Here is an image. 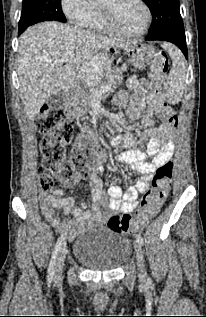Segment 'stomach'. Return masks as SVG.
Segmentation results:
<instances>
[{
	"mask_svg": "<svg viewBox=\"0 0 206 317\" xmlns=\"http://www.w3.org/2000/svg\"><path fill=\"white\" fill-rule=\"evenodd\" d=\"M153 50L147 45L133 43L125 48V54L128 56L132 66L143 67L149 62ZM114 65V56L107 54L92 55L91 59H83L82 67H77L76 83L79 87L95 86V83L101 82V74L110 72ZM89 93V92H88Z\"/></svg>",
	"mask_w": 206,
	"mask_h": 317,
	"instance_id": "1",
	"label": "stomach"
}]
</instances>
